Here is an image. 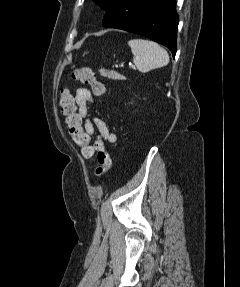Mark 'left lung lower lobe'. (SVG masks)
<instances>
[{"mask_svg":"<svg viewBox=\"0 0 240 287\" xmlns=\"http://www.w3.org/2000/svg\"><path fill=\"white\" fill-rule=\"evenodd\" d=\"M176 0H110L103 26L146 36L165 45L175 57L178 15Z\"/></svg>","mask_w":240,"mask_h":287,"instance_id":"obj_1","label":"left lung lower lobe"}]
</instances>
